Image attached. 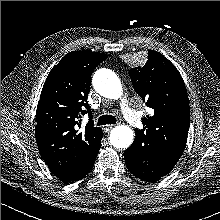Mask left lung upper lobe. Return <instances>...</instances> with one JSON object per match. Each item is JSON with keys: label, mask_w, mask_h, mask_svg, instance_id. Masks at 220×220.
<instances>
[{"label": "left lung upper lobe", "mask_w": 220, "mask_h": 220, "mask_svg": "<svg viewBox=\"0 0 220 220\" xmlns=\"http://www.w3.org/2000/svg\"><path fill=\"white\" fill-rule=\"evenodd\" d=\"M136 93L153 109L135 130L141 145L152 146L174 159L184 152L190 124V108L184 81L176 67L159 52L149 50L143 67L130 69Z\"/></svg>", "instance_id": "1"}]
</instances>
